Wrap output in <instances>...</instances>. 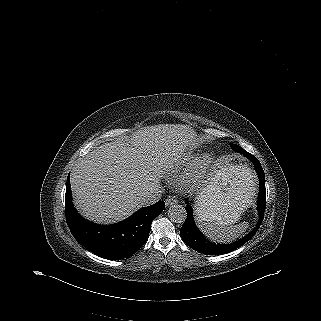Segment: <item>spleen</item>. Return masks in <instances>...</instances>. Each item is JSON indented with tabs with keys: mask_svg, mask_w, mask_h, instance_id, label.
Wrapping results in <instances>:
<instances>
[{
	"mask_svg": "<svg viewBox=\"0 0 321 321\" xmlns=\"http://www.w3.org/2000/svg\"><path fill=\"white\" fill-rule=\"evenodd\" d=\"M196 217L201 231L208 238L217 242L233 241L246 232L249 227L248 222L230 226L217 208L199 210Z\"/></svg>",
	"mask_w": 321,
	"mask_h": 321,
	"instance_id": "3e777b00",
	"label": "spleen"
}]
</instances>
